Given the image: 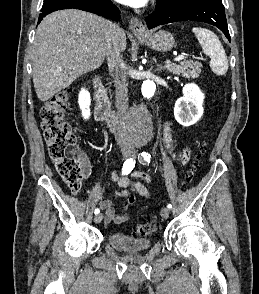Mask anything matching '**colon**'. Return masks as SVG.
Instances as JSON below:
<instances>
[{
  "mask_svg": "<svg viewBox=\"0 0 259 294\" xmlns=\"http://www.w3.org/2000/svg\"><path fill=\"white\" fill-rule=\"evenodd\" d=\"M69 95L70 90H65L48 99L41 109V120L49 155L57 173L70 189L77 191L81 187L83 178L81 158L76 148L74 132L69 123L63 118ZM206 150L207 144L203 143L189 171L186 173V182L192 180L194 171ZM157 229L156 222L151 220L139 224L135 228V234L147 237L155 234Z\"/></svg>",
  "mask_w": 259,
  "mask_h": 294,
  "instance_id": "obj_1",
  "label": "colon"
}]
</instances>
